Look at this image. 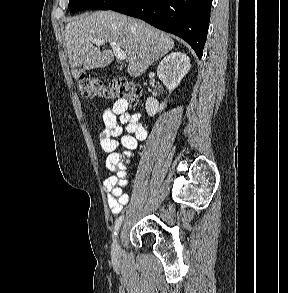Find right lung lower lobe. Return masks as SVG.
<instances>
[{"instance_id": "right-lung-lower-lobe-1", "label": "right lung lower lobe", "mask_w": 288, "mask_h": 293, "mask_svg": "<svg viewBox=\"0 0 288 293\" xmlns=\"http://www.w3.org/2000/svg\"><path fill=\"white\" fill-rule=\"evenodd\" d=\"M212 0H123L110 10L140 18L185 40L199 59L207 38Z\"/></svg>"}]
</instances>
